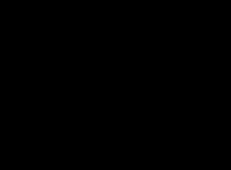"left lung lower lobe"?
Masks as SVG:
<instances>
[{
  "instance_id": "1",
  "label": "left lung lower lobe",
  "mask_w": 231,
  "mask_h": 170,
  "mask_svg": "<svg viewBox=\"0 0 231 170\" xmlns=\"http://www.w3.org/2000/svg\"><path fill=\"white\" fill-rule=\"evenodd\" d=\"M134 115L133 135L136 143L153 153H168L179 149L193 135L192 130L161 134L162 118L153 99H144L131 108Z\"/></svg>"
}]
</instances>
